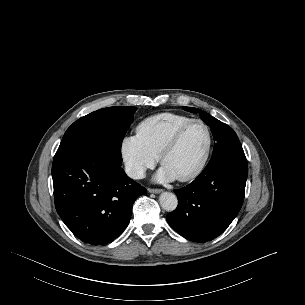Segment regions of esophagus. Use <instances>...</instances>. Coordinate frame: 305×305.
Masks as SVG:
<instances>
[{"label": "esophagus", "mask_w": 305, "mask_h": 305, "mask_svg": "<svg viewBox=\"0 0 305 305\" xmlns=\"http://www.w3.org/2000/svg\"><path fill=\"white\" fill-rule=\"evenodd\" d=\"M148 192L149 193H155V194H158V193H161L162 192V189H154V188H149L148 189Z\"/></svg>", "instance_id": "1"}]
</instances>
